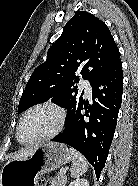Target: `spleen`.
Returning a JSON list of instances; mask_svg holds the SVG:
<instances>
[{"label":"spleen","mask_w":138,"mask_h":186,"mask_svg":"<svg viewBox=\"0 0 138 186\" xmlns=\"http://www.w3.org/2000/svg\"><path fill=\"white\" fill-rule=\"evenodd\" d=\"M72 160L71 177L78 178L88 169V162L85 157L73 148L69 149Z\"/></svg>","instance_id":"obj_1"}]
</instances>
